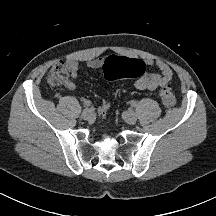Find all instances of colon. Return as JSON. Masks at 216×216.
I'll return each instance as SVG.
<instances>
[{"label": "colon", "mask_w": 216, "mask_h": 216, "mask_svg": "<svg viewBox=\"0 0 216 216\" xmlns=\"http://www.w3.org/2000/svg\"><path fill=\"white\" fill-rule=\"evenodd\" d=\"M145 64L141 60L129 59L126 57H110L104 64V74L108 81H115L120 78L140 77L144 74ZM67 77V70L64 62H56L51 68L48 76V84L55 88L62 85ZM159 97L166 107H172L175 102V95L170 87L164 86L159 91ZM110 110V101L104 100L98 109L99 118L105 119Z\"/></svg>", "instance_id": "5ec220e1"}]
</instances>
